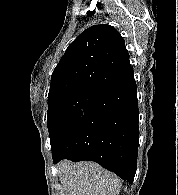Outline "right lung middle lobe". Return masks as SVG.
<instances>
[{"label":"right lung middle lobe","instance_id":"1","mask_svg":"<svg viewBox=\"0 0 178 195\" xmlns=\"http://www.w3.org/2000/svg\"><path fill=\"white\" fill-rule=\"evenodd\" d=\"M96 95L95 92L76 91L48 99L47 125L52 153L77 125Z\"/></svg>","mask_w":178,"mask_h":195}]
</instances>
